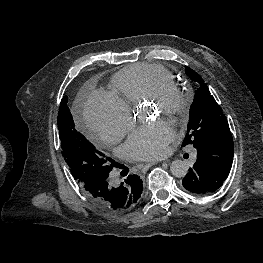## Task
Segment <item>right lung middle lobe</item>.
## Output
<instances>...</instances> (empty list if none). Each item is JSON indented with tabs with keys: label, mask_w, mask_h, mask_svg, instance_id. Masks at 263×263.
<instances>
[{
	"label": "right lung middle lobe",
	"mask_w": 263,
	"mask_h": 263,
	"mask_svg": "<svg viewBox=\"0 0 263 263\" xmlns=\"http://www.w3.org/2000/svg\"><path fill=\"white\" fill-rule=\"evenodd\" d=\"M67 102L65 96L60 103L57 123L62 155L73 178L81 185L87 180L107 177L114 162L75 128Z\"/></svg>",
	"instance_id": "right-lung-middle-lobe-1"
}]
</instances>
